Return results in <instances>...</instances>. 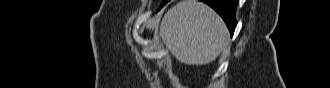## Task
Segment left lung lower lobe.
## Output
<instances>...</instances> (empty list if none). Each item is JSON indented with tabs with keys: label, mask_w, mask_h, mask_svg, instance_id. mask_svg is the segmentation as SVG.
Masks as SVG:
<instances>
[{
	"label": "left lung lower lobe",
	"mask_w": 330,
	"mask_h": 88,
	"mask_svg": "<svg viewBox=\"0 0 330 88\" xmlns=\"http://www.w3.org/2000/svg\"><path fill=\"white\" fill-rule=\"evenodd\" d=\"M169 0H163L158 11L168 2ZM212 7L225 21L230 35L233 36L237 22L235 20L236 8L239 0H200Z\"/></svg>",
	"instance_id": "0a47b994"
}]
</instances>
